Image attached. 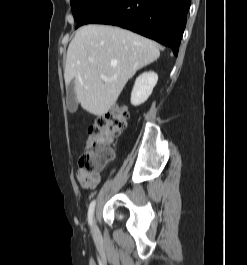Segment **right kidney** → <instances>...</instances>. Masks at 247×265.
Returning <instances> with one entry per match:
<instances>
[{"instance_id": "obj_1", "label": "right kidney", "mask_w": 247, "mask_h": 265, "mask_svg": "<svg viewBox=\"0 0 247 265\" xmlns=\"http://www.w3.org/2000/svg\"><path fill=\"white\" fill-rule=\"evenodd\" d=\"M157 81L158 75L154 72H146L141 74L136 79L131 93L132 105L139 106L144 103L151 95Z\"/></svg>"}]
</instances>
